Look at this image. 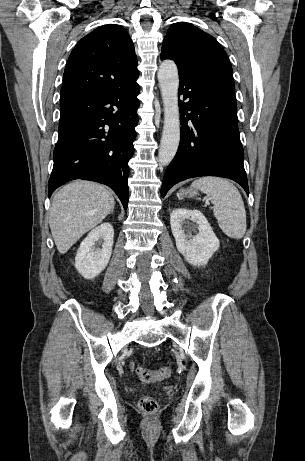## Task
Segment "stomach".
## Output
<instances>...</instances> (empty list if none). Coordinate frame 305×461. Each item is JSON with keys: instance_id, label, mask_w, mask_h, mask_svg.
Masks as SVG:
<instances>
[{"instance_id": "obj_1", "label": "stomach", "mask_w": 305, "mask_h": 461, "mask_svg": "<svg viewBox=\"0 0 305 461\" xmlns=\"http://www.w3.org/2000/svg\"><path fill=\"white\" fill-rule=\"evenodd\" d=\"M197 194H198L197 189L190 188V189H186V190H184V189L180 190L179 193L177 194V196L179 198H183L185 196L194 197Z\"/></svg>"}]
</instances>
